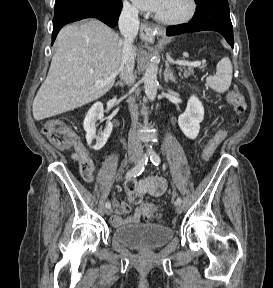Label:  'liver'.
Masks as SVG:
<instances>
[{
	"label": "liver",
	"mask_w": 273,
	"mask_h": 288,
	"mask_svg": "<svg viewBox=\"0 0 273 288\" xmlns=\"http://www.w3.org/2000/svg\"><path fill=\"white\" fill-rule=\"evenodd\" d=\"M123 46L124 40L97 19L63 27L48 75L33 101L34 119L71 111L105 95L119 73Z\"/></svg>",
	"instance_id": "6515ba94"
}]
</instances>
